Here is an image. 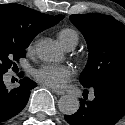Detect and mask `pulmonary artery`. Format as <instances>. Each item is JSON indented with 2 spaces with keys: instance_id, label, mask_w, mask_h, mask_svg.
Masks as SVG:
<instances>
[{
  "instance_id": "1",
  "label": "pulmonary artery",
  "mask_w": 125,
  "mask_h": 125,
  "mask_svg": "<svg viewBox=\"0 0 125 125\" xmlns=\"http://www.w3.org/2000/svg\"><path fill=\"white\" fill-rule=\"evenodd\" d=\"M73 49V47H69V48H67V50H72Z\"/></svg>"
}]
</instances>
